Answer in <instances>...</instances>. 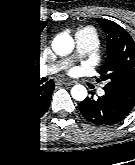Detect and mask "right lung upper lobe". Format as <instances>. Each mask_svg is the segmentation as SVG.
Listing matches in <instances>:
<instances>
[{
  "mask_svg": "<svg viewBox=\"0 0 135 165\" xmlns=\"http://www.w3.org/2000/svg\"><path fill=\"white\" fill-rule=\"evenodd\" d=\"M46 25V21L22 19L1 26L0 67L5 64L27 71L29 76L34 70L35 58L39 55L40 36Z\"/></svg>",
  "mask_w": 135,
  "mask_h": 165,
  "instance_id": "right-lung-upper-lobe-1",
  "label": "right lung upper lobe"
}]
</instances>
